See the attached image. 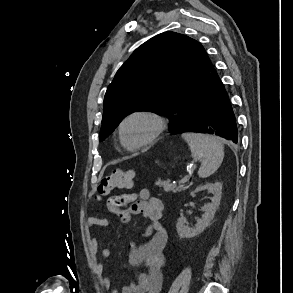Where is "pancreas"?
<instances>
[{
    "instance_id": "pancreas-1",
    "label": "pancreas",
    "mask_w": 293,
    "mask_h": 293,
    "mask_svg": "<svg viewBox=\"0 0 293 293\" xmlns=\"http://www.w3.org/2000/svg\"><path fill=\"white\" fill-rule=\"evenodd\" d=\"M160 188H163L165 192H181L186 190L188 187L179 185L177 186L176 184H171L170 180H158L156 183Z\"/></svg>"
}]
</instances>
